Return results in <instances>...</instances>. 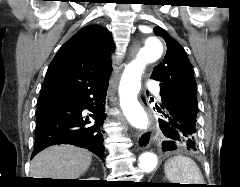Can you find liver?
I'll use <instances>...</instances> for the list:
<instances>
[{
    "label": "liver",
    "mask_w": 240,
    "mask_h": 187,
    "mask_svg": "<svg viewBox=\"0 0 240 187\" xmlns=\"http://www.w3.org/2000/svg\"><path fill=\"white\" fill-rule=\"evenodd\" d=\"M91 154L73 145H54L38 153L30 166L31 178L77 179L91 165Z\"/></svg>",
    "instance_id": "1"
}]
</instances>
